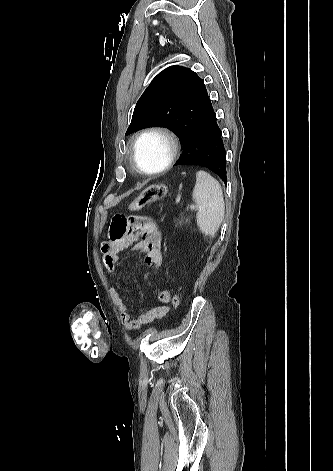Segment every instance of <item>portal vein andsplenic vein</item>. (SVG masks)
<instances>
[{
  "label": "portal vein and splenic vein",
  "mask_w": 333,
  "mask_h": 471,
  "mask_svg": "<svg viewBox=\"0 0 333 471\" xmlns=\"http://www.w3.org/2000/svg\"><path fill=\"white\" fill-rule=\"evenodd\" d=\"M190 208H191V209H195L196 206H195V205H190Z\"/></svg>",
  "instance_id": "portal-vein-and-splenic-vein-1"
}]
</instances>
